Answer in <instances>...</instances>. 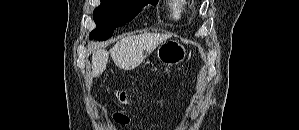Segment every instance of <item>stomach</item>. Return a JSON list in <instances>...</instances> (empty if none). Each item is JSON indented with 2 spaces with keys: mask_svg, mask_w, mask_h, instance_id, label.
Segmentation results:
<instances>
[{
  "mask_svg": "<svg viewBox=\"0 0 299 130\" xmlns=\"http://www.w3.org/2000/svg\"><path fill=\"white\" fill-rule=\"evenodd\" d=\"M157 58L165 65H177L186 55L185 47L176 40H168L159 45L156 51Z\"/></svg>",
  "mask_w": 299,
  "mask_h": 130,
  "instance_id": "obj_1",
  "label": "stomach"
}]
</instances>
